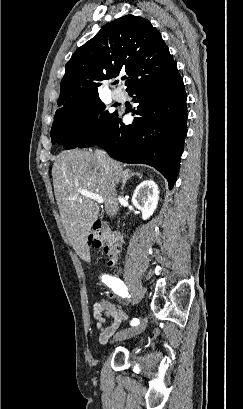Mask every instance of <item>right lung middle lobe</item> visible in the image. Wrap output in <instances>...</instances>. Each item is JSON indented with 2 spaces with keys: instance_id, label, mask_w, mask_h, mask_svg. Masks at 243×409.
I'll return each mask as SVG.
<instances>
[{
  "instance_id": "1",
  "label": "right lung middle lobe",
  "mask_w": 243,
  "mask_h": 409,
  "mask_svg": "<svg viewBox=\"0 0 243 409\" xmlns=\"http://www.w3.org/2000/svg\"><path fill=\"white\" fill-rule=\"evenodd\" d=\"M104 110L105 105L99 97L58 109L50 133L52 143H58L65 149L76 148L86 137L105 127L116 114Z\"/></svg>"
}]
</instances>
